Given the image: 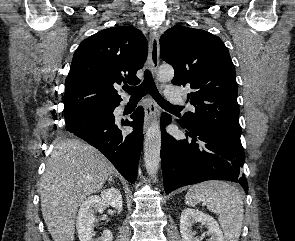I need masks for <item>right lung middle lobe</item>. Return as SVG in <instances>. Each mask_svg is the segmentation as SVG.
I'll use <instances>...</instances> for the list:
<instances>
[{
  "label": "right lung middle lobe",
  "mask_w": 295,
  "mask_h": 241,
  "mask_svg": "<svg viewBox=\"0 0 295 241\" xmlns=\"http://www.w3.org/2000/svg\"><path fill=\"white\" fill-rule=\"evenodd\" d=\"M115 105H111V106H100V107H92V108H87L81 111H77V112H72V113H67L65 114V120L69 121L74 119L75 117L81 115V114H86V113H92V112H99L105 109H109L114 107Z\"/></svg>",
  "instance_id": "1"
}]
</instances>
